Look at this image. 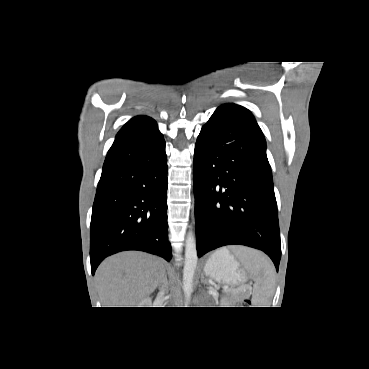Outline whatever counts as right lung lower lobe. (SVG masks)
Wrapping results in <instances>:
<instances>
[{
  "label": "right lung lower lobe",
  "mask_w": 369,
  "mask_h": 369,
  "mask_svg": "<svg viewBox=\"0 0 369 369\" xmlns=\"http://www.w3.org/2000/svg\"><path fill=\"white\" fill-rule=\"evenodd\" d=\"M167 157L158 129L121 140L106 156L93 204L90 260L141 250L171 260L167 223Z\"/></svg>",
  "instance_id": "98d812e1"
}]
</instances>
